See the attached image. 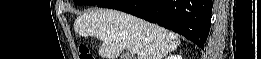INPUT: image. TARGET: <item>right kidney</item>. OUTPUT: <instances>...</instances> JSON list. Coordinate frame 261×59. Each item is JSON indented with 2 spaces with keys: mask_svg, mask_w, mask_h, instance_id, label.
<instances>
[{
  "mask_svg": "<svg viewBox=\"0 0 261 59\" xmlns=\"http://www.w3.org/2000/svg\"><path fill=\"white\" fill-rule=\"evenodd\" d=\"M168 59H182V57L180 55H172L169 56Z\"/></svg>",
  "mask_w": 261,
  "mask_h": 59,
  "instance_id": "right-kidney-1",
  "label": "right kidney"
}]
</instances>
